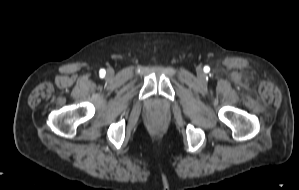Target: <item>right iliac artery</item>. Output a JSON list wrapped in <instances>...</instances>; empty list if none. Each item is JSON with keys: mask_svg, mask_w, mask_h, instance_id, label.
I'll return each instance as SVG.
<instances>
[{"mask_svg": "<svg viewBox=\"0 0 299 190\" xmlns=\"http://www.w3.org/2000/svg\"><path fill=\"white\" fill-rule=\"evenodd\" d=\"M105 73H106V72H105V70H104V69L100 70V75H101V76H104V75H105Z\"/></svg>", "mask_w": 299, "mask_h": 190, "instance_id": "82829eb1", "label": "right iliac artery"}]
</instances>
